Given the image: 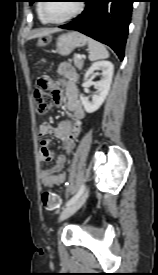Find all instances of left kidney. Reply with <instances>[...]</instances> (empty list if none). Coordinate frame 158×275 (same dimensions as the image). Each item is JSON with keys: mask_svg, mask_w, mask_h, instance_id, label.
I'll return each mask as SVG.
<instances>
[{"mask_svg": "<svg viewBox=\"0 0 158 275\" xmlns=\"http://www.w3.org/2000/svg\"><path fill=\"white\" fill-rule=\"evenodd\" d=\"M98 70L101 71L102 78L96 84L97 91L93 94L92 100L89 101L88 98L83 97V95L80 96L81 103L87 113H93L100 108L108 95L112 82L114 66L110 61H98L93 63L86 71L84 81Z\"/></svg>", "mask_w": 158, "mask_h": 275, "instance_id": "1", "label": "left kidney"}]
</instances>
